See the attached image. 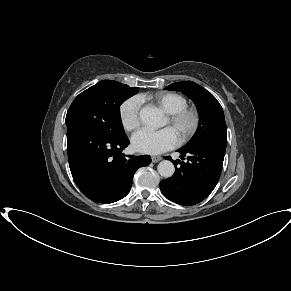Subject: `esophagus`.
Segmentation results:
<instances>
[{"mask_svg":"<svg viewBox=\"0 0 291 291\" xmlns=\"http://www.w3.org/2000/svg\"><path fill=\"white\" fill-rule=\"evenodd\" d=\"M161 159H162L161 156H152L151 157V160L153 163H156V162L160 161Z\"/></svg>","mask_w":291,"mask_h":291,"instance_id":"34e87169","label":"esophagus"}]
</instances>
